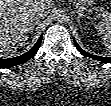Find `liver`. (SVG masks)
<instances>
[{
    "instance_id": "liver-1",
    "label": "liver",
    "mask_w": 111,
    "mask_h": 106,
    "mask_svg": "<svg viewBox=\"0 0 111 106\" xmlns=\"http://www.w3.org/2000/svg\"><path fill=\"white\" fill-rule=\"evenodd\" d=\"M49 0L0 1V54L7 57L17 52L28 40L34 28L33 11L37 7L50 8Z\"/></svg>"
}]
</instances>
